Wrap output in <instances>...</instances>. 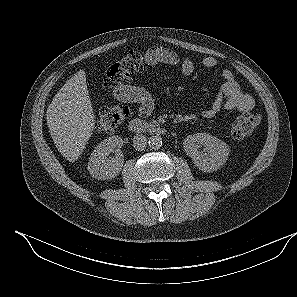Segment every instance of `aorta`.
Instances as JSON below:
<instances>
[{
    "label": "aorta",
    "mask_w": 297,
    "mask_h": 297,
    "mask_svg": "<svg viewBox=\"0 0 297 297\" xmlns=\"http://www.w3.org/2000/svg\"><path fill=\"white\" fill-rule=\"evenodd\" d=\"M148 143H149L150 148H152L154 150H158L162 146V139H161V137H159L157 135L151 136L149 138Z\"/></svg>",
    "instance_id": "762f6f07"
}]
</instances>
